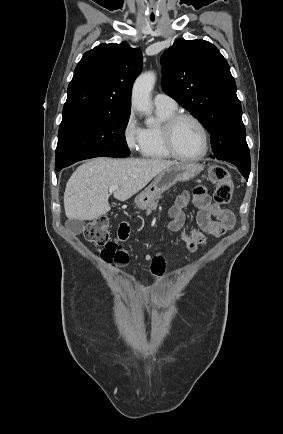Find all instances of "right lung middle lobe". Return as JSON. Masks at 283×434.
<instances>
[{
  "label": "right lung middle lobe",
  "instance_id": "right-lung-middle-lobe-1",
  "mask_svg": "<svg viewBox=\"0 0 283 434\" xmlns=\"http://www.w3.org/2000/svg\"><path fill=\"white\" fill-rule=\"evenodd\" d=\"M130 112L73 115L62 119L55 167L99 157H127L125 129Z\"/></svg>",
  "mask_w": 283,
  "mask_h": 434
}]
</instances>
